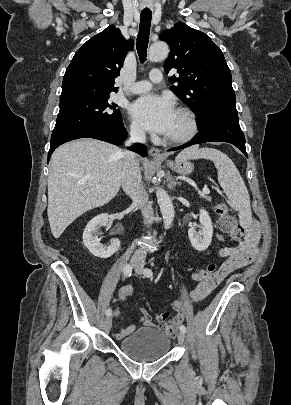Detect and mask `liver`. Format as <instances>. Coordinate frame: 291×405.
Wrapping results in <instances>:
<instances>
[{"label": "liver", "mask_w": 291, "mask_h": 405, "mask_svg": "<svg viewBox=\"0 0 291 405\" xmlns=\"http://www.w3.org/2000/svg\"><path fill=\"white\" fill-rule=\"evenodd\" d=\"M122 154L117 146L90 138L68 142L54 151L47 214L55 238L83 213L107 204L117 195Z\"/></svg>", "instance_id": "6515ba94"}]
</instances>
